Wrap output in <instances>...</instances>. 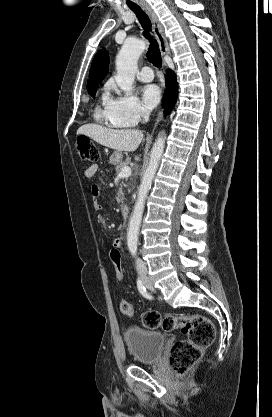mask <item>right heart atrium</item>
<instances>
[{
	"instance_id": "right-heart-atrium-1",
	"label": "right heart atrium",
	"mask_w": 272,
	"mask_h": 417,
	"mask_svg": "<svg viewBox=\"0 0 272 417\" xmlns=\"http://www.w3.org/2000/svg\"><path fill=\"white\" fill-rule=\"evenodd\" d=\"M110 88L115 95L108 98L106 108L112 119L126 127L137 125L147 115L139 99L132 93L120 91L113 84Z\"/></svg>"
}]
</instances>
